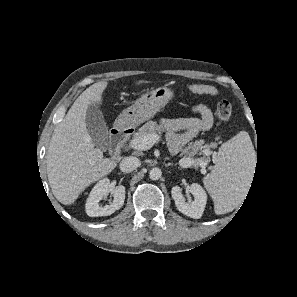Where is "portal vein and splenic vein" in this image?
<instances>
[{
	"mask_svg": "<svg viewBox=\"0 0 297 297\" xmlns=\"http://www.w3.org/2000/svg\"><path fill=\"white\" fill-rule=\"evenodd\" d=\"M159 136L156 134H147L141 137H135L130 141V147L135 150H148L150 149L157 141ZM187 162L186 160H182ZM189 164H193L194 160L189 159Z\"/></svg>",
	"mask_w": 297,
	"mask_h": 297,
	"instance_id": "18ae733b",
	"label": "portal vein and splenic vein"
}]
</instances>
